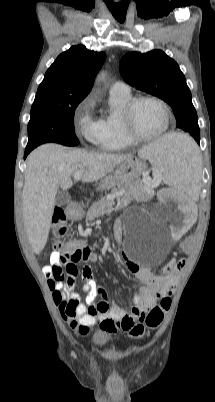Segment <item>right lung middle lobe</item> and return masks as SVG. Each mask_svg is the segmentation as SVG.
Instances as JSON below:
<instances>
[{
	"label": "right lung middle lobe",
	"mask_w": 215,
	"mask_h": 402,
	"mask_svg": "<svg viewBox=\"0 0 215 402\" xmlns=\"http://www.w3.org/2000/svg\"><path fill=\"white\" fill-rule=\"evenodd\" d=\"M84 98L36 95L28 123L27 149L40 144L56 142L76 146L79 140L74 132V112Z\"/></svg>",
	"instance_id": "1"
}]
</instances>
